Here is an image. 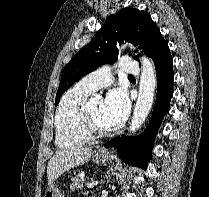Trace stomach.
Instances as JSON below:
<instances>
[{"label":"stomach","mask_w":209,"mask_h":197,"mask_svg":"<svg viewBox=\"0 0 209 197\" xmlns=\"http://www.w3.org/2000/svg\"><path fill=\"white\" fill-rule=\"evenodd\" d=\"M92 159L95 163L106 164L109 160L108 152H95L92 156ZM44 197H64L60 190L55 185H50L46 189Z\"/></svg>","instance_id":"0dacf381"}]
</instances>
